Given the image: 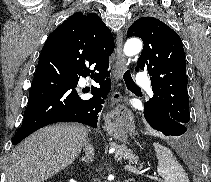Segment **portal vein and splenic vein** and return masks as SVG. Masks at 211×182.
<instances>
[{"instance_id":"portal-vein-and-splenic-vein-1","label":"portal vein and splenic vein","mask_w":211,"mask_h":182,"mask_svg":"<svg viewBox=\"0 0 211 182\" xmlns=\"http://www.w3.org/2000/svg\"><path fill=\"white\" fill-rule=\"evenodd\" d=\"M114 151H115L114 148L110 149V153H113ZM125 170H127L128 172H131V173H136V174H141L142 175V172H140L137 168H134V167H131V166H126ZM154 179H156L159 182H163V180L160 177H158V176H154Z\"/></svg>"}]
</instances>
